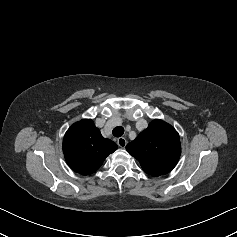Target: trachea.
I'll return each instance as SVG.
<instances>
[{
	"label": "trachea",
	"mask_w": 237,
	"mask_h": 237,
	"mask_svg": "<svg viewBox=\"0 0 237 237\" xmlns=\"http://www.w3.org/2000/svg\"><path fill=\"white\" fill-rule=\"evenodd\" d=\"M112 134L115 137H121L124 134V128L122 126H117L113 129Z\"/></svg>",
	"instance_id": "trachea-1"
}]
</instances>
